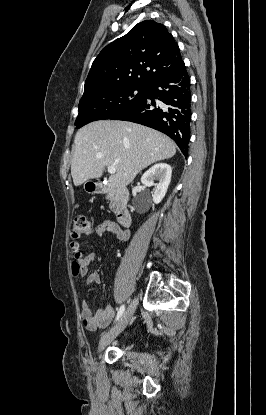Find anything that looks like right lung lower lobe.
Returning a JSON list of instances; mask_svg holds the SVG:
<instances>
[{"mask_svg": "<svg viewBox=\"0 0 266 415\" xmlns=\"http://www.w3.org/2000/svg\"><path fill=\"white\" fill-rule=\"evenodd\" d=\"M147 88L139 103L110 119L131 121L161 131L176 142L186 157L190 140L191 90L185 65Z\"/></svg>", "mask_w": 266, "mask_h": 415, "instance_id": "98d812e1", "label": "right lung lower lobe"}]
</instances>
